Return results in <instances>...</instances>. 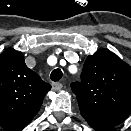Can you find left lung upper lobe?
<instances>
[{
    "instance_id": "5c2ea615",
    "label": "left lung upper lobe",
    "mask_w": 131,
    "mask_h": 131,
    "mask_svg": "<svg viewBox=\"0 0 131 131\" xmlns=\"http://www.w3.org/2000/svg\"><path fill=\"white\" fill-rule=\"evenodd\" d=\"M71 89L81 115L97 131H108L131 113V67L108 49L87 57L81 82Z\"/></svg>"
}]
</instances>
